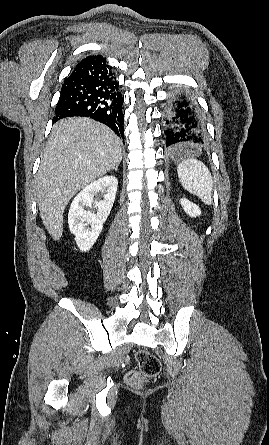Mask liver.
Here are the masks:
<instances>
[{"mask_svg": "<svg viewBox=\"0 0 269 445\" xmlns=\"http://www.w3.org/2000/svg\"><path fill=\"white\" fill-rule=\"evenodd\" d=\"M121 141L107 126L89 118L57 122L47 142L36 178L42 222L54 240L63 232V213L84 186L121 162Z\"/></svg>", "mask_w": 269, "mask_h": 445, "instance_id": "liver-1", "label": "liver"}]
</instances>
